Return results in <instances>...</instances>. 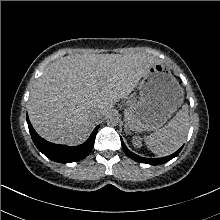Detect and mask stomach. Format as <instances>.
I'll return each instance as SVG.
<instances>
[{"mask_svg": "<svg viewBox=\"0 0 220 220\" xmlns=\"http://www.w3.org/2000/svg\"><path fill=\"white\" fill-rule=\"evenodd\" d=\"M140 97L127 104L126 126L131 131H154L162 127L184 100V92L176 78L162 63L150 66L139 83Z\"/></svg>", "mask_w": 220, "mask_h": 220, "instance_id": "0dacf381", "label": "stomach"}]
</instances>
